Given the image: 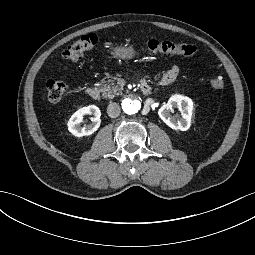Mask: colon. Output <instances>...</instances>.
Listing matches in <instances>:
<instances>
[{"instance_id": "1", "label": "colon", "mask_w": 255, "mask_h": 255, "mask_svg": "<svg viewBox=\"0 0 255 255\" xmlns=\"http://www.w3.org/2000/svg\"><path fill=\"white\" fill-rule=\"evenodd\" d=\"M98 42L95 34H87L69 45L62 53L64 59L77 62L87 52L92 51ZM144 49L152 54L192 56L196 47L187 43H173L170 41L147 40ZM213 89H222L224 82L221 78H214L210 81ZM48 100L52 103L59 102L68 90V84L62 80H49L46 84Z\"/></svg>"}]
</instances>
